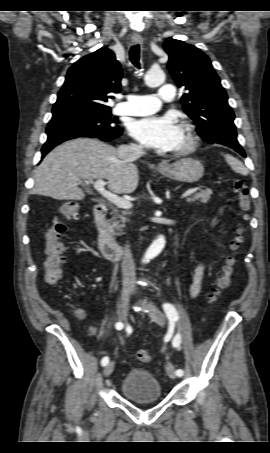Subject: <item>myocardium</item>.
<instances>
[{"label":"myocardium","instance_id":"1","mask_svg":"<svg viewBox=\"0 0 270 453\" xmlns=\"http://www.w3.org/2000/svg\"><path fill=\"white\" fill-rule=\"evenodd\" d=\"M181 128L183 130L185 142L181 147L175 150L174 154L178 156L187 155L193 152L198 145V140L193 132L192 126L186 123L183 124Z\"/></svg>","mask_w":270,"mask_h":453}]
</instances>
